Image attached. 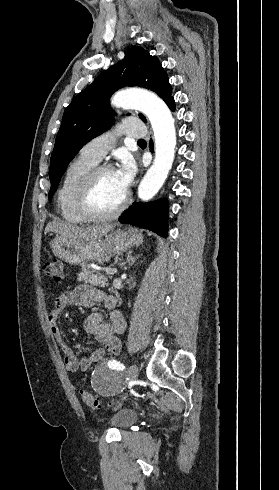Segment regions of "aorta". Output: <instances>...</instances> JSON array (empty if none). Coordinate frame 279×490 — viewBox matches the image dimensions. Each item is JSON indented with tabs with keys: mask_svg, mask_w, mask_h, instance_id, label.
I'll return each mask as SVG.
<instances>
[{
	"mask_svg": "<svg viewBox=\"0 0 279 490\" xmlns=\"http://www.w3.org/2000/svg\"><path fill=\"white\" fill-rule=\"evenodd\" d=\"M115 107L137 109L149 119L155 139V158L138 187L142 201L153 198L164 184L172 167L176 131L171 111L157 95L141 90L117 92L111 100Z\"/></svg>",
	"mask_w": 279,
	"mask_h": 490,
	"instance_id": "762f6f07",
	"label": "aorta"
}]
</instances>
